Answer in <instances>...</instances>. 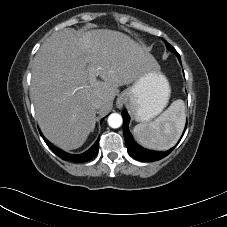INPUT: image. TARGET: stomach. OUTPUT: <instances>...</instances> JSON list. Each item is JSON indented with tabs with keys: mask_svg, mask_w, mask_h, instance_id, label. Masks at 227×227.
Listing matches in <instances>:
<instances>
[{
	"mask_svg": "<svg viewBox=\"0 0 227 227\" xmlns=\"http://www.w3.org/2000/svg\"><path fill=\"white\" fill-rule=\"evenodd\" d=\"M170 85L160 68L139 76L123 91L126 105L137 122H149L162 112L170 97Z\"/></svg>",
	"mask_w": 227,
	"mask_h": 227,
	"instance_id": "1",
	"label": "stomach"
}]
</instances>
